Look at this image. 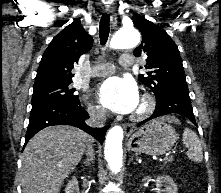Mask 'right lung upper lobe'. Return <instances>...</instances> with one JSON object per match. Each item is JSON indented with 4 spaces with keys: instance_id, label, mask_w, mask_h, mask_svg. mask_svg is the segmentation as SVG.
Returning <instances> with one entry per match:
<instances>
[{
    "instance_id": "cb5924a9",
    "label": "right lung upper lobe",
    "mask_w": 221,
    "mask_h": 193,
    "mask_svg": "<svg viewBox=\"0 0 221 193\" xmlns=\"http://www.w3.org/2000/svg\"><path fill=\"white\" fill-rule=\"evenodd\" d=\"M93 38L86 33L80 19H75L51 41L42 55L34 85L72 81L74 62L88 52Z\"/></svg>"
}]
</instances>
